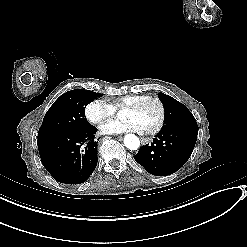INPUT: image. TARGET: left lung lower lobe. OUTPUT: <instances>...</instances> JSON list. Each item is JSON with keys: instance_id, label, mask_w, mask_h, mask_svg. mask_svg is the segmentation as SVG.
<instances>
[{"instance_id": "obj_1", "label": "left lung lower lobe", "mask_w": 247, "mask_h": 247, "mask_svg": "<svg viewBox=\"0 0 247 247\" xmlns=\"http://www.w3.org/2000/svg\"><path fill=\"white\" fill-rule=\"evenodd\" d=\"M198 129H162L151 145L139 149L134 159L146 171L156 176L175 173L189 159L197 140Z\"/></svg>"}]
</instances>
